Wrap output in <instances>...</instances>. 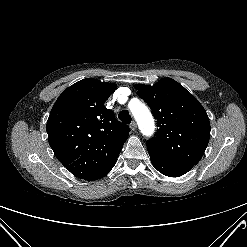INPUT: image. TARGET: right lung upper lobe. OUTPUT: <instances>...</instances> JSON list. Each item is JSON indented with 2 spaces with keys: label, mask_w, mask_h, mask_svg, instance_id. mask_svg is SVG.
I'll use <instances>...</instances> for the list:
<instances>
[{
  "label": "right lung upper lobe",
  "mask_w": 247,
  "mask_h": 247,
  "mask_svg": "<svg viewBox=\"0 0 247 247\" xmlns=\"http://www.w3.org/2000/svg\"><path fill=\"white\" fill-rule=\"evenodd\" d=\"M116 89L93 78L68 87L47 121L48 141L58 160L76 177L89 179L119 156L129 127L104 106Z\"/></svg>",
  "instance_id": "obj_1"
}]
</instances>
